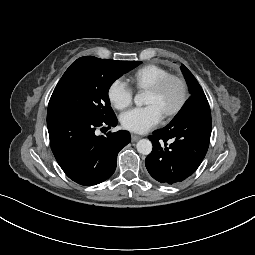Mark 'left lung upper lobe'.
<instances>
[{
    "label": "left lung upper lobe",
    "mask_w": 255,
    "mask_h": 255,
    "mask_svg": "<svg viewBox=\"0 0 255 255\" xmlns=\"http://www.w3.org/2000/svg\"><path fill=\"white\" fill-rule=\"evenodd\" d=\"M181 70L187 81L191 96L203 93L201 86L199 85L193 74L184 65L181 66Z\"/></svg>",
    "instance_id": "5c2ea615"
}]
</instances>
